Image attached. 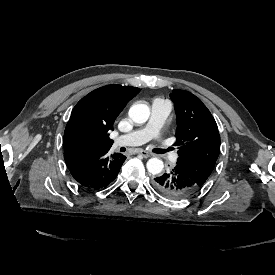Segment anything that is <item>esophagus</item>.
Returning <instances> with one entry per match:
<instances>
[{
  "mask_svg": "<svg viewBox=\"0 0 275 275\" xmlns=\"http://www.w3.org/2000/svg\"><path fill=\"white\" fill-rule=\"evenodd\" d=\"M139 154H141L144 158H149L151 155L145 150H140Z\"/></svg>",
  "mask_w": 275,
  "mask_h": 275,
  "instance_id": "1",
  "label": "esophagus"
}]
</instances>
